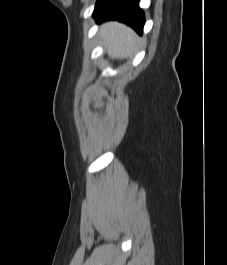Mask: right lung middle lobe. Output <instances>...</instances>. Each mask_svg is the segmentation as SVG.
I'll return each mask as SVG.
<instances>
[{"label":"right lung middle lobe","instance_id":"dd1d6c3e","mask_svg":"<svg viewBox=\"0 0 227 265\" xmlns=\"http://www.w3.org/2000/svg\"><path fill=\"white\" fill-rule=\"evenodd\" d=\"M106 2L107 0H98L93 14H95Z\"/></svg>","mask_w":227,"mask_h":265}]
</instances>
